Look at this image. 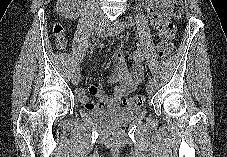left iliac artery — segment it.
Here are the masks:
<instances>
[{
	"mask_svg": "<svg viewBox=\"0 0 227 157\" xmlns=\"http://www.w3.org/2000/svg\"><path fill=\"white\" fill-rule=\"evenodd\" d=\"M122 26H123L124 28L130 26L129 21H124L123 24H122ZM153 81H154V79H153L152 77H149V78H148V83H152Z\"/></svg>",
	"mask_w": 227,
	"mask_h": 157,
	"instance_id": "left-iliac-artery-1",
	"label": "left iliac artery"
}]
</instances>
